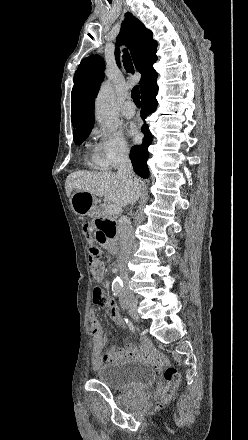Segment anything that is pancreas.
<instances>
[{
    "mask_svg": "<svg viewBox=\"0 0 248 440\" xmlns=\"http://www.w3.org/2000/svg\"><path fill=\"white\" fill-rule=\"evenodd\" d=\"M106 206H102L101 208H100V210L98 211V212H96V214L99 216V217H103V218H108V219H110L111 221H116V218L115 217H113L112 215H109L108 213H106Z\"/></svg>",
    "mask_w": 248,
    "mask_h": 440,
    "instance_id": "cf45deb5",
    "label": "pancreas"
}]
</instances>
